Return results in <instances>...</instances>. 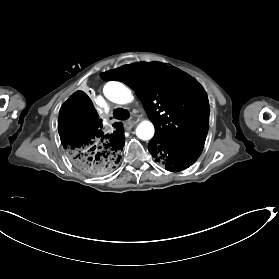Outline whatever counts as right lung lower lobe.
Segmentation results:
<instances>
[{
  "label": "right lung lower lobe",
  "mask_w": 279,
  "mask_h": 279,
  "mask_svg": "<svg viewBox=\"0 0 279 279\" xmlns=\"http://www.w3.org/2000/svg\"><path fill=\"white\" fill-rule=\"evenodd\" d=\"M121 123L105 129L90 98L83 92L64 102L58 119V132L72 165L87 174L105 175L120 161L125 137Z\"/></svg>",
  "instance_id": "98d812e1"
}]
</instances>
